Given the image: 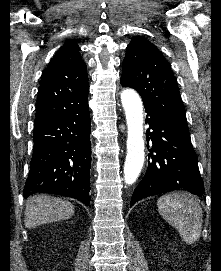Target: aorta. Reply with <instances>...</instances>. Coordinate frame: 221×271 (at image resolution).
Masks as SVG:
<instances>
[{
  "mask_svg": "<svg viewBox=\"0 0 221 271\" xmlns=\"http://www.w3.org/2000/svg\"><path fill=\"white\" fill-rule=\"evenodd\" d=\"M121 102L125 111L128 129L124 180L126 184L131 185L138 179L145 159L143 104L140 96L133 89L122 91Z\"/></svg>",
  "mask_w": 221,
  "mask_h": 271,
  "instance_id": "762f6f07",
  "label": "aorta"
}]
</instances>
